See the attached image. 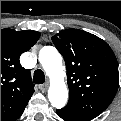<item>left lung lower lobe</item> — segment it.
Segmentation results:
<instances>
[{"label": "left lung lower lobe", "instance_id": "1", "mask_svg": "<svg viewBox=\"0 0 121 121\" xmlns=\"http://www.w3.org/2000/svg\"><path fill=\"white\" fill-rule=\"evenodd\" d=\"M56 112H57V114H58L62 119L66 120V121H82V120H80V119H76V118H74V117H71V116H68V115L64 114L61 110H57Z\"/></svg>", "mask_w": 121, "mask_h": 121}]
</instances>
